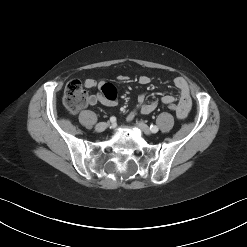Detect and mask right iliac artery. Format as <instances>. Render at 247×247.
<instances>
[{"label": "right iliac artery", "instance_id": "obj_1", "mask_svg": "<svg viewBox=\"0 0 247 247\" xmlns=\"http://www.w3.org/2000/svg\"><path fill=\"white\" fill-rule=\"evenodd\" d=\"M110 121L113 123V122L116 121V118H115V117H111V118H110Z\"/></svg>", "mask_w": 247, "mask_h": 247}]
</instances>
